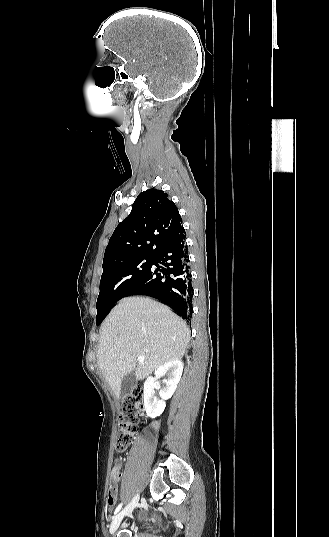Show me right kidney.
I'll list each match as a JSON object with an SVG mask.
<instances>
[{
    "mask_svg": "<svg viewBox=\"0 0 329 537\" xmlns=\"http://www.w3.org/2000/svg\"><path fill=\"white\" fill-rule=\"evenodd\" d=\"M183 372V362L181 360H172L160 366L154 376L147 378L144 384V407L149 417L155 418L160 416L166 406V400L172 397ZM167 374L168 379L163 382L166 384L159 391L161 399L155 397L154 386L158 379Z\"/></svg>",
    "mask_w": 329,
    "mask_h": 537,
    "instance_id": "obj_1",
    "label": "right kidney"
}]
</instances>
